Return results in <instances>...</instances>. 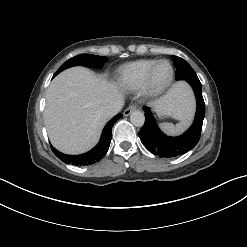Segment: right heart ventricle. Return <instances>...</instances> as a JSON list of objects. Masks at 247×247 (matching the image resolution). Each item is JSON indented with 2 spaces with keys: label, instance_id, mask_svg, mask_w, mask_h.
Wrapping results in <instances>:
<instances>
[{
  "label": "right heart ventricle",
  "instance_id": "e07e8e85",
  "mask_svg": "<svg viewBox=\"0 0 247 247\" xmlns=\"http://www.w3.org/2000/svg\"><path fill=\"white\" fill-rule=\"evenodd\" d=\"M156 59H140L123 65L117 73V83L126 90H136L141 87L150 67Z\"/></svg>",
  "mask_w": 247,
  "mask_h": 247
}]
</instances>
